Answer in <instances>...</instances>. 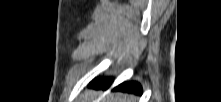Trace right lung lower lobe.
<instances>
[{"label":"right lung lower lobe","mask_w":221,"mask_h":102,"mask_svg":"<svg viewBox=\"0 0 221 102\" xmlns=\"http://www.w3.org/2000/svg\"><path fill=\"white\" fill-rule=\"evenodd\" d=\"M112 81V78H96L89 84V86L94 88L106 89L111 85ZM115 89L136 94L142 93L141 86L136 82H125L117 86Z\"/></svg>","instance_id":"1"}]
</instances>
